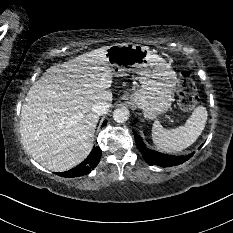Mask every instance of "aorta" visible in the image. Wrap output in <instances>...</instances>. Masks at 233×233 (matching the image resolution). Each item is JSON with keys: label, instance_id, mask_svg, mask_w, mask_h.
<instances>
[{"label": "aorta", "instance_id": "obj_1", "mask_svg": "<svg viewBox=\"0 0 233 233\" xmlns=\"http://www.w3.org/2000/svg\"><path fill=\"white\" fill-rule=\"evenodd\" d=\"M113 118L118 123H123L129 118V110L126 107H120L114 110Z\"/></svg>", "mask_w": 233, "mask_h": 233}]
</instances>
